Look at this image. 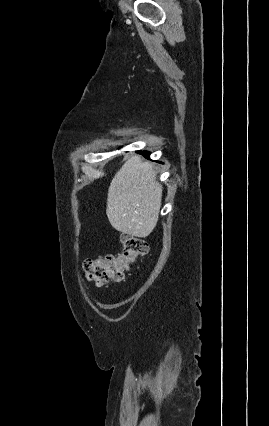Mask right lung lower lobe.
Returning a JSON list of instances; mask_svg holds the SVG:
<instances>
[{"mask_svg":"<svg viewBox=\"0 0 269 426\" xmlns=\"http://www.w3.org/2000/svg\"><path fill=\"white\" fill-rule=\"evenodd\" d=\"M138 153L142 154L143 156H145L147 158H149V155H150V152H148V151H140Z\"/></svg>","mask_w":269,"mask_h":426,"instance_id":"98d812e1","label":"right lung lower lobe"}]
</instances>
